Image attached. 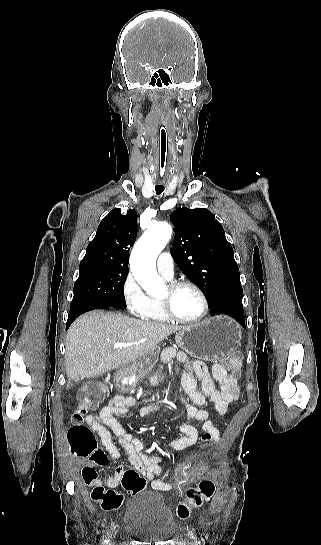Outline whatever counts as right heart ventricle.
I'll return each mask as SVG.
<instances>
[{"label":"right heart ventricle","mask_w":321,"mask_h":545,"mask_svg":"<svg viewBox=\"0 0 321 545\" xmlns=\"http://www.w3.org/2000/svg\"><path fill=\"white\" fill-rule=\"evenodd\" d=\"M143 320L150 323H162L167 322L168 318L162 312L158 302H152L151 307Z\"/></svg>","instance_id":"right-heart-ventricle-1"}]
</instances>
